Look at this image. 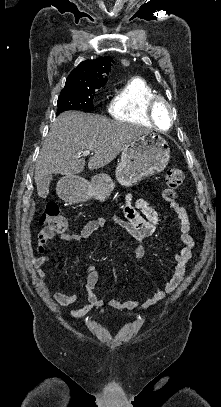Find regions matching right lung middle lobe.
Masks as SVG:
<instances>
[{"mask_svg": "<svg viewBox=\"0 0 221 407\" xmlns=\"http://www.w3.org/2000/svg\"><path fill=\"white\" fill-rule=\"evenodd\" d=\"M96 89H71L62 90L58 102L57 112L67 110H91L93 109V98Z\"/></svg>", "mask_w": 221, "mask_h": 407, "instance_id": "right-lung-middle-lobe-1", "label": "right lung middle lobe"}]
</instances>
